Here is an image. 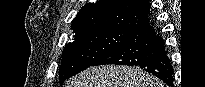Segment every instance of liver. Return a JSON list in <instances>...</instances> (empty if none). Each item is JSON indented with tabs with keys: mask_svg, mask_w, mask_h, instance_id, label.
Listing matches in <instances>:
<instances>
[{
	"mask_svg": "<svg viewBox=\"0 0 205 87\" xmlns=\"http://www.w3.org/2000/svg\"><path fill=\"white\" fill-rule=\"evenodd\" d=\"M65 87H163L154 76L129 66L90 67L72 77Z\"/></svg>",
	"mask_w": 205,
	"mask_h": 87,
	"instance_id": "6515ba94",
	"label": "liver"
}]
</instances>
